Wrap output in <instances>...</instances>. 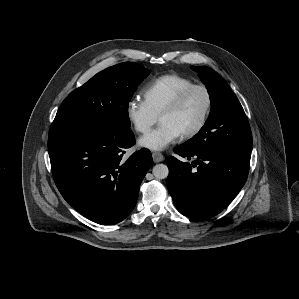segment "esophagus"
Instances as JSON below:
<instances>
[{
	"label": "esophagus",
	"mask_w": 299,
	"mask_h": 299,
	"mask_svg": "<svg viewBox=\"0 0 299 299\" xmlns=\"http://www.w3.org/2000/svg\"><path fill=\"white\" fill-rule=\"evenodd\" d=\"M153 161L158 163L164 160V156L159 152L152 153Z\"/></svg>",
	"instance_id": "34e87169"
}]
</instances>
